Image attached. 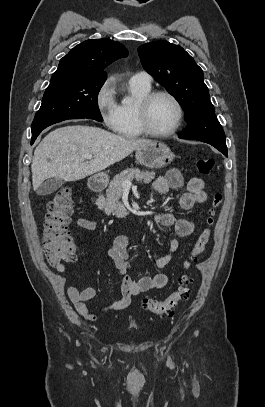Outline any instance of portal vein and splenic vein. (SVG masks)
<instances>
[{"instance_id":"1","label":"portal vein and splenic vein","mask_w":265,"mask_h":407,"mask_svg":"<svg viewBox=\"0 0 265 407\" xmlns=\"http://www.w3.org/2000/svg\"><path fill=\"white\" fill-rule=\"evenodd\" d=\"M85 158L88 159V160H92L93 156L92 155H86ZM122 186H123L124 189H130L131 186H132V183L128 182V181H125V182H123Z\"/></svg>"}]
</instances>
